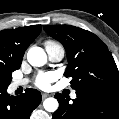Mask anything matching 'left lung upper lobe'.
Instances as JSON below:
<instances>
[{
    "label": "left lung upper lobe",
    "mask_w": 119,
    "mask_h": 119,
    "mask_svg": "<svg viewBox=\"0 0 119 119\" xmlns=\"http://www.w3.org/2000/svg\"><path fill=\"white\" fill-rule=\"evenodd\" d=\"M44 30L65 47L68 59L65 76L72 78L73 89L119 93V72L101 39L70 25H47Z\"/></svg>",
    "instance_id": "1"
}]
</instances>
